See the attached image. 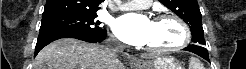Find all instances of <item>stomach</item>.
<instances>
[{"label":"stomach","mask_w":246,"mask_h":69,"mask_svg":"<svg viewBox=\"0 0 246 69\" xmlns=\"http://www.w3.org/2000/svg\"><path fill=\"white\" fill-rule=\"evenodd\" d=\"M135 69H183L173 57H157L149 61H139Z\"/></svg>","instance_id":"stomach-1"}]
</instances>
